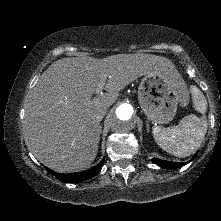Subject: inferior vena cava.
<instances>
[{"label":"inferior vena cava","mask_w":221,"mask_h":221,"mask_svg":"<svg viewBox=\"0 0 221 221\" xmlns=\"http://www.w3.org/2000/svg\"><path fill=\"white\" fill-rule=\"evenodd\" d=\"M105 114H106V109L100 110L96 115V119L98 121H101L104 118Z\"/></svg>","instance_id":"602c4592"}]
</instances>
